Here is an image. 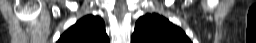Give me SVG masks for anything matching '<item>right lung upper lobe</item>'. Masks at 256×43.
I'll return each mask as SVG.
<instances>
[{
  "label": "right lung upper lobe",
  "mask_w": 256,
  "mask_h": 43,
  "mask_svg": "<svg viewBox=\"0 0 256 43\" xmlns=\"http://www.w3.org/2000/svg\"><path fill=\"white\" fill-rule=\"evenodd\" d=\"M57 43H109V38L103 20L88 15L71 26Z\"/></svg>",
  "instance_id": "obj_1"
}]
</instances>
